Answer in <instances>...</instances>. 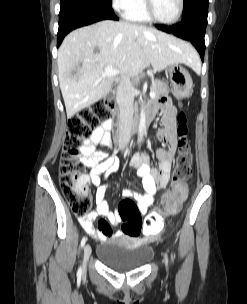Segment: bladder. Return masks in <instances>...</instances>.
Returning <instances> with one entry per match:
<instances>
[{"label": "bladder", "mask_w": 247, "mask_h": 304, "mask_svg": "<svg viewBox=\"0 0 247 304\" xmlns=\"http://www.w3.org/2000/svg\"><path fill=\"white\" fill-rule=\"evenodd\" d=\"M96 256L107 268L125 273L146 266L152 260L154 250L132 239L118 238L103 241L97 247Z\"/></svg>", "instance_id": "31cf9c89"}]
</instances>
